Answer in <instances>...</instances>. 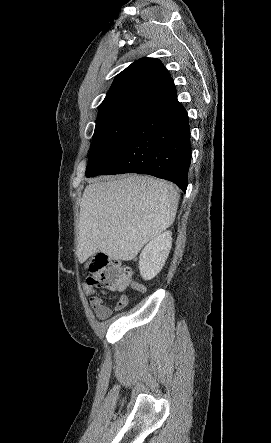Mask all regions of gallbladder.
<instances>
[{"mask_svg": "<svg viewBox=\"0 0 271 443\" xmlns=\"http://www.w3.org/2000/svg\"><path fill=\"white\" fill-rule=\"evenodd\" d=\"M87 265H89V261H87V263H86L85 267H87Z\"/></svg>", "mask_w": 271, "mask_h": 443, "instance_id": "1", "label": "gallbladder"}]
</instances>
